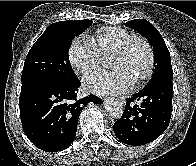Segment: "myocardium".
<instances>
[{"label":"myocardium","instance_id":"obj_1","mask_svg":"<svg viewBox=\"0 0 196 166\" xmlns=\"http://www.w3.org/2000/svg\"><path fill=\"white\" fill-rule=\"evenodd\" d=\"M136 43L143 44L148 52L147 67L144 70V72L135 80V85L139 86L152 76L154 65H155V53L149 40L143 36H133L130 39H128L118 50H116L113 53V55H117L120 57L127 56L131 52L133 46Z\"/></svg>","mask_w":196,"mask_h":166}]
</instances>
